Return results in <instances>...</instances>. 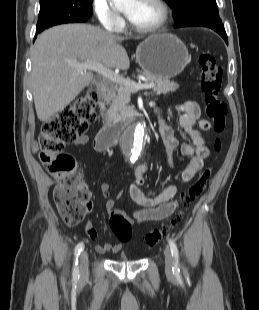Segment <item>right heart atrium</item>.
Returning <instances> with one entry per match:
<instances>
[{"label": "right heart atrium", "instance_id": "1", "mask_svg": "<svg viewBox=\"0 0 259 310\" xmlns=\"http://www.w3.org/2000/svg\"><path fill=\"white\" fill-rule=\"evenodd\" d=\"M93 10L105 28L118 31L124 27V19L108 5L107 0H94Z\"/></svg>", "mask_w": 259, "mask_h": 310}]
</instances>
